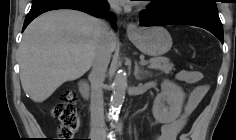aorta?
<instances>
[{
  "mask_svg": "<svg viewBox=\"0 0 236 140\" xmlns=\"http://www.w3.org/2000/svg\"><path fill=\"white\" fill-rule=\"evenodd\" d=\"M126 88V74L124 72L117 73L112 84V95L110 101V111L112 116L115 114L117 115V112L124 103Z\"/></svg>",
  "mask_w": 236,
  "mask_h": 140,
  "instance_id": "1",
  "label": "aorta"
}]
</instances>
